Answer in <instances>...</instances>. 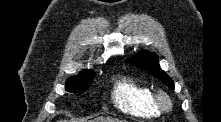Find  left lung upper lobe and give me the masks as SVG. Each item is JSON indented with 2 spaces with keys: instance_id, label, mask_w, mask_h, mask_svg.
Segmentation results:
<instances>
[{
  "instance_id": "1",
  "label": "left lung upper lobe",
  "mask_w": 221,
  "mask_h": 122,
  "mask_svg": "<svg viewBox=\"0 0 221 122\" xmlns=\"http://www.w3.org/2000/svg\"><path fill=\"white\" fill-rule=\"evenodd\" d=\"M157 59L158 57L156 54L150 53L148 51H141L136 55V57H133L132 59H129L125 62H129L131 65H136L137 67L144 69L154 77L167 84L169 88L174 89V83L172 79L159 68Z\"/></svg>"
}]
</instances>
